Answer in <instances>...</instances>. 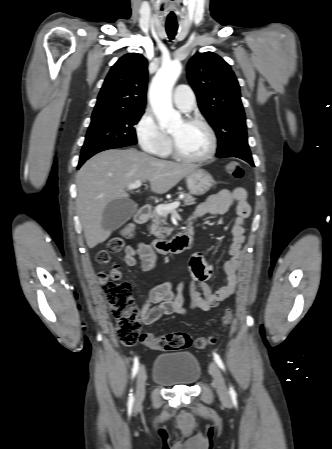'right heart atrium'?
Segmentation results:
<instances>
[{"mask_svg": "<svg viewBox=\"0 0 332 449\" xmlns=\"http://www.w3.org/2000/svg\"><path fill=\"white\" fill-rule=\"evenodd\" d=\"M142 149L153 155H163L170 147L169 136L159 127L155 117L145 112L136 125Z\"/></svg>", "mask_w": 332, "mask_h": 449, "instance_id": "right-heart-atrium-1", "label": "right heart atrium"}]
</instances>
